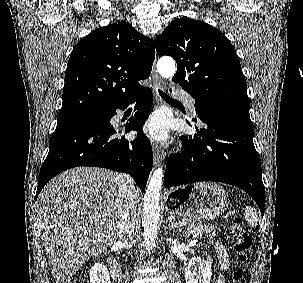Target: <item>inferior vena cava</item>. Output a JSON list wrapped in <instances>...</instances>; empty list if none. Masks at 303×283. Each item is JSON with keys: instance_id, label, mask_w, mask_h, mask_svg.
<instances>
[{"instance_id": "1", "label": "inferior vena cava", "mask_w": 303, "mask_h": 283, "mask_svg": "<svg viewBox=\"0 0 303 283\" xmlns=\"http://www.w3.org/2000/svg\"><path fill=\"white\" fill-rule=\"evenodd\" d=\"M119 195L123 207L118 234L128 247L131 246L129 240L134 232V216L136 213L135 186L133 179L129 175H122L119 186Z\"/></svg>"}]
</instances>
